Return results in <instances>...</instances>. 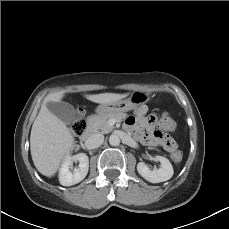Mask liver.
<instances>
[{
  "instance_id": "6515ba94",
  "label": "liver",
  "mask_w": 229,
  "mask_h": 229,
  "mask_svg": "<svg viewBox=\"0 0 229 229\" xmlns=\"http://www.w3.org/2000/svg\"><path fill=\"white\" fill-rule=\"evenodd\" d=\"M65 90L49 93L41 105L30 134V150L37 170L47 177L56 174L62 161L75 145L74 136L66 124L47 107L49 102H60ZM129 93L85 94L84 97L94 103L106 104L127 97Z\"/></svg>"
}]
</instances>
